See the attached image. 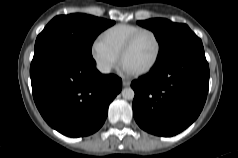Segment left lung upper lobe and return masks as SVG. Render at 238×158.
I'll return each mask as SVG.
<instances>
[{"label":"left lung upper lobe","mask_w":238,"mask_h":158,"mask_svg":"<svg viewBox=\"0 0 238 158\" xmlns=\"http://www.w3.org/2000/svg\"><path fill=\"white\" fill-rule=\"evenodd\" d=\"M137 23L154 32L160 46L157 63L184 48L202 44L200 38L186 24L173 23L163 18L138 21Z\"/></svg>","instance_id":"1"}]
</instances>
